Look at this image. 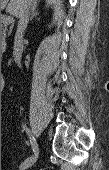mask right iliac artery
Listing matches in <instances>:
<instances>
[{
    "label": "right iliac artery",
    "mask_w": 109,
    "mask_h": 170,
    "mask_svg": "<svg viewBox=\"0 0 109 170\" xmlns=\"http://www.w3.org/2000/svg\"><path fill=\"white\" fill-rule=\"evenodd\" d=\"M23 128H24V130H26V132L29 134V129L26 128V126H24V125H23ZM30 143H31V145H32L33 152H36L37 146H36V144H35L34 139H32L31 137H30ZM27 160H28V159H27Z\"/></svg>",
    "instance_id": "1"
}]
</instances>
